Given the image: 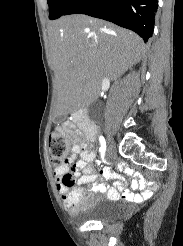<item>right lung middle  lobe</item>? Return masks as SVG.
Instances as JSON below:
<instances>
[{"label": "right lung middle lobe", "instance_id": "1", "mask_svg": "<svg viewBox=\"0 0 183 246\" xmlns=\"http://www.w3.org/2000/svg\"><path fill=\"white\" fill-rule=\"evenodd\" d=\"M75 0H47L49 5V19L54 20L64 15Z\"/></svg>", "mask_w": 183, "mask_h": 246}]
</instances>
